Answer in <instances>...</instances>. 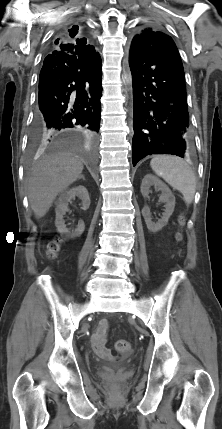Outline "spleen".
Returning <instances> with one entry per match:
<instances>
[{
    "label": "spleen",
    "mask_w": 222,
    "mask_h": 429,
    "mask_svg": "<svg viewBox=\"0 0 222 429\" xmlns=\"http://www.w3.org/2000/svg\"><path fill=\"white\" fill-rule=\"evenodd\" d=\"M150 166L171 187L178 190L187 204H191L196 190V177L192 168L181 158L171 155H156Z\"/></svg>",
    "instance_id": "spleen-1"
}]
</instances>
